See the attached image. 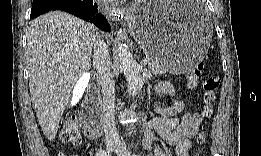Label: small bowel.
<instances>
[{
    "mask_svg": "<svg viewBox=\"0 0 261 156\" xmlns=\"http://www.w3.org/2000/svg\"><path fill=\"white\" fill-rule=\"evenodd\" d=\"M161 95L174 96L175 90L170 83L162 82L156 87ZM183 109V103L174 102L169 107H156L158 115L150 121L148 140L157 139L175 146L177 156H187L191 142L190 139L196 135L201 122L198 113H186L179 119L176 115Z\"/></svg>",
    "mask_w": 261,
    "mask_h": 156,
    "instance_id": "c3829d8e",
    "label": "small bowel"
}]
</instances>
